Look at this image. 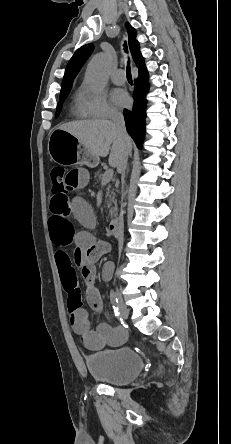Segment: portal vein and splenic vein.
<instances>
[{"label":"portal vein and splenic vein","instance_id":"portal-vein-and-splenic-vein-1","mask_svg":"<svg viewBox=\"0 0 231 444\" xmlns=\"http://www.w3.org/2000/svg\"><path fill=\"white\" fill-rule=\"evenodd\" d=\"M113 174H114L113 169L110 168L106 170L101 179V184L102 185L108 184L111 181Z\"/></svg>","mask_w":231,"mask_h":444}]
</instances>
